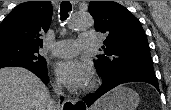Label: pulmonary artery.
<instances>
[{"mask_svg": "<svg viewBox=\"0 0 171 110\" xmlns=\"http://www.w3.org/2000/svg\"><path fill=\"white\" fill-rule=\"evenodd\" d=\"M96 45V34L87 32L82 33L78 40H61L54 43L51 47V53L57 57H73L81 48L92 47Z\"/></svg>", "mask_w": 171, "mask_h": 110, "instance_id": "pulmonary-artery-1", "label": "pulmonary artery"}]
</instances>
